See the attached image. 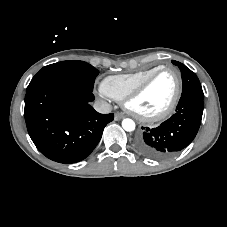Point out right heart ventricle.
Segmentation results:
<instances>
[{
    "instance_id": "right-heart-ventricle-1",
    "label": "right heart ventricle",
    "mask_w": 227,
    "mask_h": 227,
    "mask_svg": "<svg viewBox=\"0 0 227 227\" xmlns=\"http://www.w3.org/2000/svg\"><path fill=\"white\" fill-rule=\"evenodd\" d=\"M161 67L163 66L159 65L132 73L107 76L100 84L101 91L115 100H123L132 89Z\"/></svg>"
}]
</instances>
